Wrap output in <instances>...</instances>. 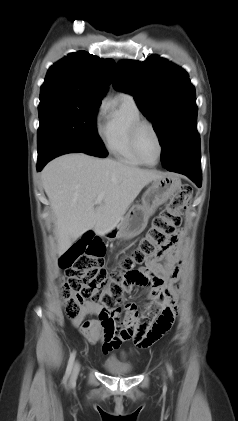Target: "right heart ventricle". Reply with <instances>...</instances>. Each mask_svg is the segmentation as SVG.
Masks as SVG:
<instances>
[{
	"mask_svg": "<svg viewBox=\"0 0 238 421\" xmlns=\"http://www.w3.org/2000/svg\"><path fill=\"white\" fill-rule=\"evenodd\" d=\"M142 119V113L129 95H120L106 110L101 127V136L106 148L120 161L142 166L131 144V131L134 124Z\"/></svg>",
	"mask_w": 238,
	"mask_h": 421,
	"instance_id": "obj_1",
	"label": "right heart ventricle"
}]
</instances>
